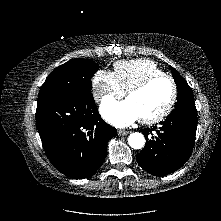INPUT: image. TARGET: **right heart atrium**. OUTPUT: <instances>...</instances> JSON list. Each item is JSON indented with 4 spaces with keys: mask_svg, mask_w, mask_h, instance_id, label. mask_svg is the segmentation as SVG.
I'll list each match as a JSON object with an SVG mask.
<instances>
[{
    "mask_svg": "<svg viewBox=\"0 0 221 221\" xmlns=\"http://www.w3.org/2000/svg\"><path fill=\"white\" fill-rule=\"evenodd\" d=\"M92 91L96 101L105 102L124 95L113 72L99 70L92 79Z\"/></svg>",
    "mask_w": 221,
    "mask_h": 221,
    "instance_id": "right-heart-atrium-1",
    "label": "right heart atrium"
}]
</instances>
